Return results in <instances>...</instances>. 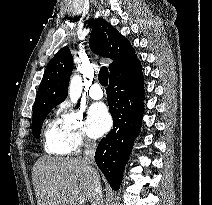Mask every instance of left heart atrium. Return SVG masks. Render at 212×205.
Returning <instances> with one entry per match:
<instances>
[{"mask_svg": "<svg viewBox=\"0 0 212 205\" xmlns=\"http://www.w3.org/2000/svg\"><path fill=\"white\" fill-rule=\"evenodd\" d=\"M112 124L111 116L103 103H94L88 110V133L97 138L107 132Z\"/></svg>", "mask_w": 212, "mask_h": 205, "instance_id": "1", "label": "left heart atrium"}]
</instances>
